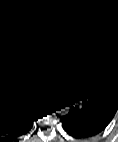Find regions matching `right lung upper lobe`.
<instances>
[{"label": "right lung upper lobe", "instance_id": "obj_1", "mask_svg": "<svg viewBox=\"0 0 118 142\" xmlns=\"http://www.w3.org/2000/svg\"><path fill=\"white\" fill-rule=\"evenodd\" d=\"M49 50L20 45L0 58V132L15 134L37 113L41 102L31 96L39 63Z\"/></svg>", "mask_w": 118, "mask_h": 142}]
</instances>
